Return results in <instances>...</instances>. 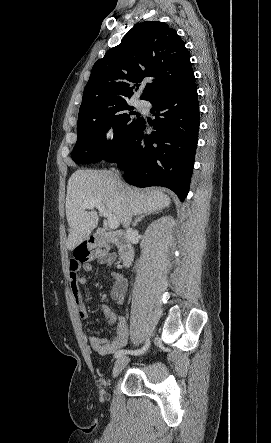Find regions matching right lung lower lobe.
Here are the masks:
<instances>
[{
    "label": "right lung lower lobe",
    "instance_id": "98d812e1",
    "mask_svg": "<svg viewBox=\"0 0 271 443\" xmlns=\"http://www.w3.org/2000/svg\"><path fill=\"white\" fill-rule=\"evenodd\" d=\"M156 115L146 134L144 119L122 141L116 162L125 180L137 187L164 186L183 201L189 191L199 130L195 79L167 89L152 100Z\"/></svg>",
    "mask_w": 271,
    "mask_h": 443
}]
</instances>
